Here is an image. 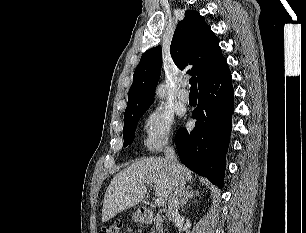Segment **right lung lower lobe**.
Returning <instances> with one entry per match:
<instances>
[{"label": "right lung lower lobe", "instance_id": "right-lung-lower-lobe-1", "mask_svg": "<svg viewBox=\"0 0 306 233\" xmlns=\"http://www.w3.org/2000/svg\"><path fill=\"white\" fill-rule=\"evenodd\" d=\"M198 89V107L192 113L197 119L195 128L191 132L180 128L175 145L185 166L222 188L234 112L229 68L206 80Z\"/></svg>", "mask_w": 306, "mask_h": 233}]
</instances>
